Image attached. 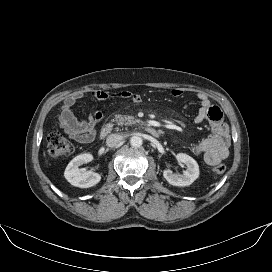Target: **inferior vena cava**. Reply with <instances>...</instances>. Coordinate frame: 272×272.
<instances>
[{"label": "inferior vena cava", "mask_w": 272, "mask_h": 272, "mask_svg": "<svg viewBox=\"0 0 272 272\" xmlns=\"http://www.w3.org/2000/svg\"><path fill=\"white\" fill-rule=\"evenodd\" d=\"M122 140V136L119 134H110L106 139V145L108 147H114L118 145Z\"/></svg>", "instance_id": "obj_1"}]
</instances>
